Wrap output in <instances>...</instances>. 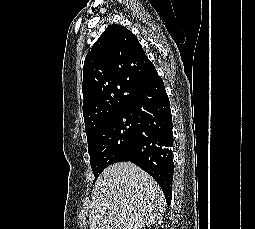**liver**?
Listing matches in <instances>:
<instances>
[{
    "label": "liver",
    "mask_w": 255,
    "mask_h": 229,
    "mask_svg": "<svg viewBox=\"0 0 255 229\" xmlns=\"http://www.w3.org/2000/svg\"><path fill=\"white\" fill-rule=\"evenodd\" d=\"M164 194L155 180L131 162L107 167L96 181L90 229H141L159 219Z\"/></svg>",
    "instance_id": "liver-1"
}]
</instances>
